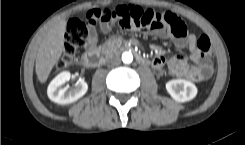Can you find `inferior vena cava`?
<instances>
[{
  "mask_svg": "<svg viewBox=\"0 0 245 145\" xmlns=\"http://www.w3.org/2000/svg\"><path fill=\"white\" fill-rule=\"evenodd\" d=\"M109 65L116 66L120 64V59L118 57L112 58L109 62Z\"/></svg>",
  "mask_w": 245,
  "mask_h": 145,
  "instance_id": "602c4592",
  "label": "inferior vena cava"
}]
</instances>
